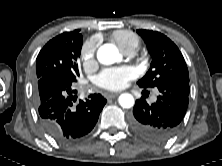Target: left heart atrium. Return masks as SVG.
Wrapping results in <instances>:
<instances>
[{
  "mask_svg": "<svg viewBox=\"0 0 222 166\" xmlns=\"http://www.w3.org/2000/svg\"><path fill=\"white\" fill-rule=\"evenodd\" d=\"M136 77V71L130 66L108 68L95 77V83L101 88L116 91L123 89Z\"/></svg>",
  "mask_w": 222,
  "mask_h": 166,
  "instance_id": "39dd6f15",
  "label": "left heart atrium"
}]
</instances>
